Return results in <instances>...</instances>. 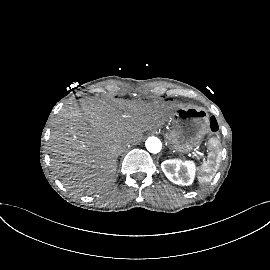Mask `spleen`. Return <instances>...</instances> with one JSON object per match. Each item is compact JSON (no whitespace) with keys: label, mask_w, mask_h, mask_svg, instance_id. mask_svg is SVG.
<instances>
[{"label":"spleen","mask_w":270,"mask_h":270,"mask_svg":"<svg viewBox=\"0 0 270 270\" xmlns=\"http://www.w3.org/2000/svg\"><path fill=\"white\" fill-rule=\"evenodd\" d=\"M208 150L209 152V159L204 160L199 170L198 180L199 182H211L212 175H210L212 172H214L220 163V148L221 143L218 138H210L208 141ZM182 164L193 166L194 170L196 171L195 164L192 161H185L182 162V160H178Z\"/></svg>","instance_id":"3e777b00"}]
</instances>
